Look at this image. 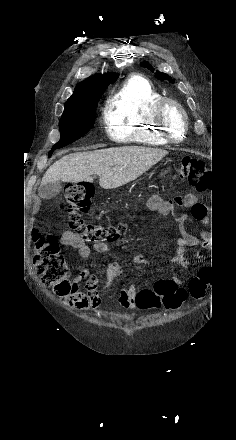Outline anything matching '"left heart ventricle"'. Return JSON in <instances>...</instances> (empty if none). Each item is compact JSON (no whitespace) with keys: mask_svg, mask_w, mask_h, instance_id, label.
I'll use <instances>...</instances> for the list:
<instances>
[{"mask_svg":"<svg viewBox=\"0 0 236 440\" xmlns=\"http://www.w3.org/2000/svg\"><path fill=\"white\" fill-rule=\"evenodd\" d=\"M167 125L172 134L179 138L182 135L183 122L180 113L175 108H169L166 113Z\"/></svg>","mask_w":236,"mask_h":440,"instance_id":"1","label":"left heart ventricle"}]
</instances>
